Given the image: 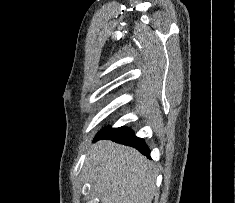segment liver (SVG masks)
<instances>
[{"label": "liver", "instance_id": "6515ba94", "mask_svg": "<svg viewBox=\"0 0 235 203\" xmlns=\"http://www.w3.org/2000/svg\"><path fill=\"white\" fill-rule=\"evenodd\" d=\"M83 172L101 203H152L156 175L134 148L101 140L89 148Z\"/></svg>", "mask_w": 235, "mask_h": 203}]
</instances>
